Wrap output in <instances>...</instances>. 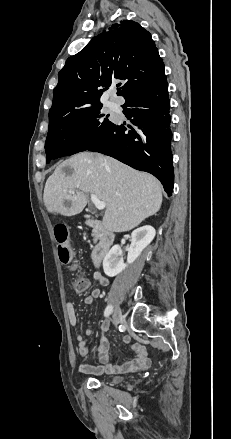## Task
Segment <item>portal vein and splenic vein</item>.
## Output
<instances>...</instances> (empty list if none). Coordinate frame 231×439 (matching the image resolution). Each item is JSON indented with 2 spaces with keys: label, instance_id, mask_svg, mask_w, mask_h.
<instances>
[{
  "label": "portal vein and splenic vein",
  "instance_id": "obj_1",
  "mask_svg": "<svg viewBox=\"0 0 231 439\" xmlns=\"http://www.w3.org/2000/svg\"><path fill=\"white\" fill-rule=\"evenodd\" d=\"M91 201L98 210H103L106 207V204L94 194H91Z\"/></svg>",
  "mask_w": 231,
  "mask_h": 439
}]
</instances>
